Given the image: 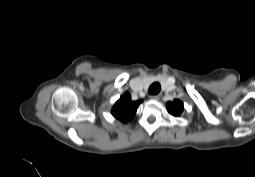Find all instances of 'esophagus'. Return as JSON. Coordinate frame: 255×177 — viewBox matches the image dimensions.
<instances>
[{
	"label": "esophagus",
	"mask_w": 255,
	"mask_h": 177,
	"mask_svg": "<svg viewBox=\"0 0 255 177\" xmlns=\"http://www.w3.org/2000/svg\"><path fill=\"white\" fill-rule=\"evenodd\" d=\"M159 98H160L159 95H152V96H151V99H152V100H158Z\"/></svg>",
	"instance_id": "esophagus-1"
}]
</instances>
